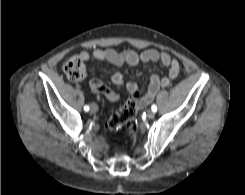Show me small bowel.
I'll return each mask as SVG.
<instances>
[{
  "mask_svg": "<svg viewBox=\"0 0 245 195\" xmlns=\"http://www.w3.org/2000/svg\"><path fill=\"white\" fill-rule=\"evenodd\" d=\"M79 58L83 61L95 59L97 61H107L110 64L121 67L123 65L135 66L139 62H152L160 63L164 67L168 68V77L160 76L159 74H153L150 79L148 90L141 100L142 105L149 104L160 88L167 87L172 80L176 79L180 73L179 62L172 58L166 51H158L156 49H147L140 53L128 50L124 52H118L114 49H92L83 50L79 53ZM113 84L118 86H125L126 90L130 94H138V85L135 82H125L121 73L115 72L111 76ZM90 88L93 92L104 95L110 101H117L119 95L116 94L109 87L105 86L99 79H92L90 81Z\"/></svg>",
  "mask_w": 245,
  "mask_h": 195,
  "instance_id": "small-bowel-1",
  "label": "small bowel"
}]
</instances>
